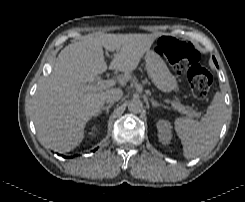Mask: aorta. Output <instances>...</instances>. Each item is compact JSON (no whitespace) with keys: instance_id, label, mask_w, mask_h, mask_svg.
Returning <instances> with one entry per match:
<instances>
[{"instance_id":"obj_1","label":"aorta","mask_w":245,"mask_h":202,"mask_svg":"<svg viewBox=\"0 0 245 202\" xmlns=\"http://www.w3.org/2000/svg\"><path fill=\"white\" fill-rule=\"evenodd\" d=\"M143 109V103L139 99H132L128 103V110L132 113L138 114Z\"/></svg>"}]
</instances>
